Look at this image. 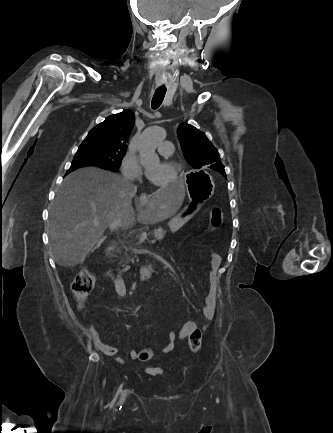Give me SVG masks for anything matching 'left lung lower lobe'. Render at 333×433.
Returning <instances> with one entry per match:
<instances>
[{
	"label": "left lung lower lobe",
	"mask_w": 333,
	"mask_h": 433,
	"mask_svg": "<svg viewBox=\"0 0 333 433\" xmlns=\"http://www.w3.org/2000/svg\"><path fill=\"white\" fill-rule=\"evenodd\" d=\"M210 168L211 169H213V170H216V171H218L217 169H218V167L216 166V165H212V166H210ZM222 172L224 171V170H222V169H220ZM218 172H220V171H218ZM223 176H225L226 177V174L225 173H221Z\"/></svg>",
	"instance_id": "left-lung-lower-lobe-1"
}]
</instances>
